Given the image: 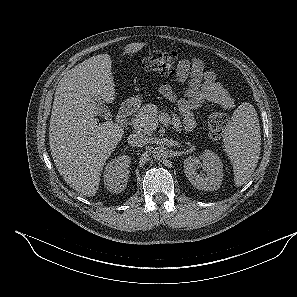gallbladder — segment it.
Listing matches in <instances>:
<instances>
[{
  "label": "gallbladder",
  "mask_w": 297,
  "mask_h": 297,
  "mask_svg": "<svg viewBox=\"0 0 297 297\" xmlns=\"http://www.w3.org/2000/svg\"><path fill=\"white\" fill-rule=\"evenodd\" d=\"M95 103H96V105L98 107L99 115H101L105 119H110L111 114H110L109 109L106 107L104 101L100 100V99H96Z\"/></svg>",
  "instance_id": "gallbladder-1"
}]
</instances>
